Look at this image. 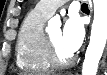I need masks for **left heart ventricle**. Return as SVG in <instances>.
I'll return each mask as SVG.
<instances>
[{
  "mask_svg": "<svg viewBox=\"0 0 107 75\" xmlns=\"http://www.w3.org/2000/svg\"><path fill=\"white\" fill-rule=\"evenodd\" d=\"M48 36L50 37V39L53 41V43L55 44V46L57 47L59 53L63 56V57H67L69 55H71L69 52H67L61 42V31L60 30H54L52 32H50L48 34Z\"/></svg>",
  "mask_w": 107,
  "mask_h": 75,
  "instance_id": "left-heart-ventricle-1",
  "label": "left heart ventricle"
}]
</instances>
